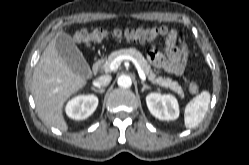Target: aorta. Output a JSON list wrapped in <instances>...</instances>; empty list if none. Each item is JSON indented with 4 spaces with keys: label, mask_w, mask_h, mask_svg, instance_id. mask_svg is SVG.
Listing matches in <instances>:
<instances>
[{
    "label": "aorta",
    "mask_w": 249,
    "mask_h": 165,
    "mask_svg": "<svg viewBox=\"0 0 249 165\" xmlns=\"http://www.w3.org/2000/svg\"><path fill=\"white\" fill-rule=\"evenodd\" d=\"M117 84L119 87L129 88L132 85V80L128 75H120Z\"/></svg>",
    "instance_id": "762f6f07"
}]
</instances>
